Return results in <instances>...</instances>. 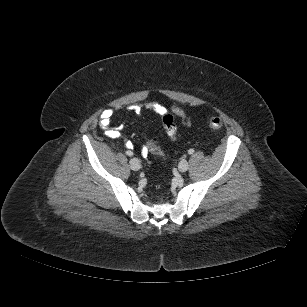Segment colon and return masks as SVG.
<instances>
[{
  "label": "colon",
  "instance_id": "5ec220e1",
  "mask_svg": "<svg viewBox=\"0 0 307 307\" xmlns=\"http://www.w3.org/2000/svg\"><path fill=\"white\" fill-rule=\"evenodd\" d=\"M162 121L167 135L175 139L176 138V124L174 122L173 116L165 113L162 115ZM208 125L212 129H219L223 126V120L218 116H211L208 118ZM147 150L155 155H162V149L159 146L158 140L156 138H151L147 143Z\"/></svg>",
  "mask_w": 307,
  "mask_h": 307
}]
</instances>
